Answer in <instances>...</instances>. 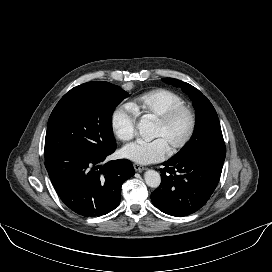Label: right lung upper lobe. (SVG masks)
<instances>
[{"label":"right lung upper lobe","instance_id":"cb5924a9","mask_svg":"<svg viewBox=\"0 0 272 272\" xmlns=\"http://www.w3.org/2000/svg\"><path fill=\"white\" fill-rule=\"evenodd\" d=\"M85 89V83L84 84H81L77 87H74L73 89H71L68 93H66L60 101H63V100H66L72 96H75V95H78V94H81Z\"/></svg>","mask_w":272,"mask_h":272}]
</instances>
